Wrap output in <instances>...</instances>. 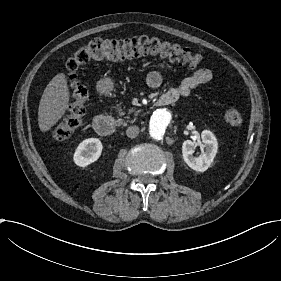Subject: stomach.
<instances>
[{"label": "stomach", "mask_w": 281, "mask_h": 281, "mask_svg": "<svg viewBox=\"0 0 281 281\" xmlns=\"http://www.w3.org/2000/svg\"><path fill=\"white\" fill-rule=\"evenodd\" d=\"M101 91L109 93L113 88V83L110 78H104L100 81Z\"/></svg>", "instance_id": "stomach-1"}]
</instances>
